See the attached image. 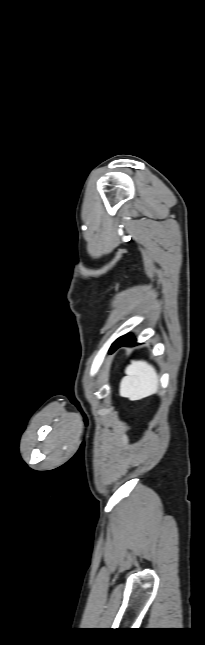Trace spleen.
I'll use <instances>...</instances> for the list:
<instances>
[{"instance_id": "3e777b00", "label": "spleen", "mask_w": 205, "mask_h": 645, "mask_svg": "<svg viewBox=\"0 0 205 645\" xmlns=\"http://www.w3.org/2000/svg\"><path fill=\"white\" fill-rule=\"evenodd\" d=\"M126 376L120 383V395L130 400H140L158 390L159 376L153 366L145 361H131L125 369Z\"/></svg>"}]
</instances>
